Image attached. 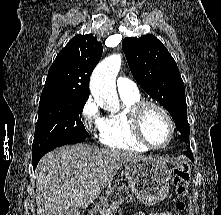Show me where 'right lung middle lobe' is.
Wrapping results in <instances>:
<instances>
[{
	"label": "right lung middle lobe",
	"mask_w": 221,
	"mask_h": 215,
	"mask_svg": "<svg viewBox=\"0 0 221 215\" xmlns=\"http://www.w3.org/2000/svg\"><path fill=\"white\" fill-rule=\"evenodd\" d=\"M87 99H54L39 103L32 156L88 137L81 114Z\"/></svg>",
	"instance_id": "obj_1"
}]
</instances>
